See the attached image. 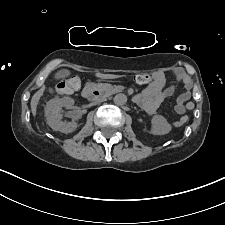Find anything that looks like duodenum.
Here are the masks:
<instances>
[{
    "label": "duodenum",
    "instance_id": "410a0bca",
    "mask_svg": "<svg viewBox=\"0 0 225 225\" xmlns=\"http://www.w3.org/2000/svg\"><path fill=\"white\" fill-rule=\"evenodd\" d=\"M99 92L92 86H87L83 92H82V95L84 98H92V97H95L96 95H98Z\"/></svg>",
    "mask_w": 225,
    "mask_h": 225
}]
</instances>
